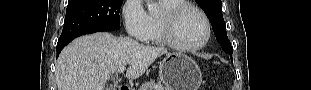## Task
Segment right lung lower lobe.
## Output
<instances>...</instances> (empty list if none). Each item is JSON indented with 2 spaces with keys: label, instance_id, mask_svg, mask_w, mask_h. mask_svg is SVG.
I'll list each match as a JSON object with an SVG mask.
<instances>
[{
  "label": "right lung lower lobe",
  "instance_id": "obj_1",
  "mask_svg": "<svg viewBox=\"0 0 311 90\" xmlns=\"http://www.w3.org/2000/svg\"><path fill=\"white\" fill-rule=\"evenodd\" d=\"M96 32V31H95ZM90 33H94V32H90ZM84 34H89V33H84ZM84 34H80L78 36H81V35H84ZM78 36H75L71 39H68L66 41H63V42H58L57 43V56L59 55V53L61 52V50L68 44L70 43L74 38L78 37Z\"/></svg>",
  "mask_w": 311,
  "mask_h": 90
}]
</instances>
